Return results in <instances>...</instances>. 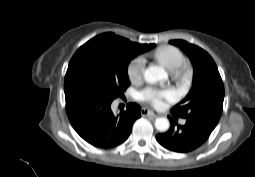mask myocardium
Masks as SVG:
<instances>
[{
    "label": "myocardium",
    "mask_w": 255,
    "mask_h": 177,
    "mask_svg": "<svg viewBox=\"0 0 255 177\" xmlns=\"http://www.w3.org/2000/svg\"><path fill=\"white\" fill-rule=\"evenodd\" d=\"M189 71V65L184 62L172 72V75L177 83H182L186 79Z\"/></svg>",
    "instance_id": "f54148a6"
}]
</instances>
